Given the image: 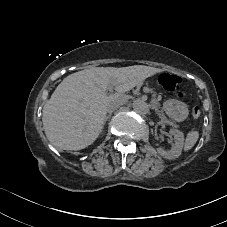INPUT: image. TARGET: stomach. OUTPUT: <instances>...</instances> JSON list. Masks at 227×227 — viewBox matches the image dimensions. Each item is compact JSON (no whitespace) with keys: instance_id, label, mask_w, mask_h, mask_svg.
Segmentation results:
<instances>
[{"instance_id":"obj_1","label":"stomach","mask_w":227,"mask_h":227,"mask_svg":"<svg viewBox=\"0 0 227 227\" xmlns=\"http://www.w3.org/2000/svg\"><path fill=\"white\" fill-rule=\"evenodd\" d=\"M163 109L171 119L177 122L185 120L189 114L187 106L176 99L166 100Z\"/></svg>"}]
</instances>
